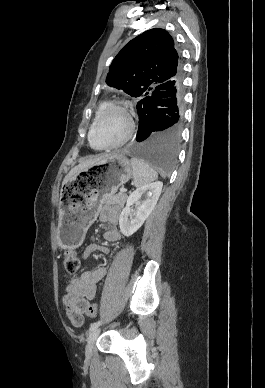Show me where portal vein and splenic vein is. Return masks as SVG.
<instances>
[{
  "instance_id": "1",
  "label": "portal vein and splenic vein",
  "mask_w": 265,
  "mask_h": 388,
  "mask_svg": "<svg viewBox=\"0 0 265 388\" xmlns=\"http://www.w3.org/2000/svg\"><path fill=\"white\" fill-rule=\"evenodd\" d=\"M121 192H125L124 188H122Z\"/></svg>"
}]
</instances>
